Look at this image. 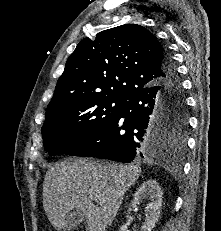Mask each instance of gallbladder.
I'll list each match as a JSON object with an SVG mask.
<instances>
[{
  "mask_svg": "<svg viewBox=\"0 0 221 231\" xmlns=\"http://www.w3.org/2000/svg\"><path fill=\"white\" fill-rule=\"evenodd\" d=\"M84 221V216L78 210H74L73 212L69 213L67 216L63 230L64 231H72L76 227H78Z\"/></svg>",
  "mask_w": 221,
  "mask_h": 231,
  "instance_id": "bac80fb5",
  "label": "gallbladder"
}]
</instances>
